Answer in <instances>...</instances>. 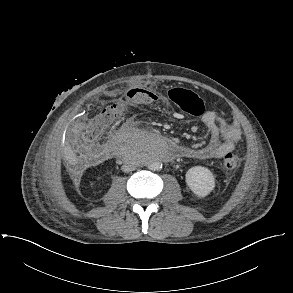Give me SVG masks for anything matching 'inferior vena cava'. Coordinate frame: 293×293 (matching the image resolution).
<instances>
[{
	"instance_id": "obj_1",
	"label": "inferior vena cava",
	"mask_w": 293,
	"mask_h": 293,
	"mask_svg": "<svg viewBox=\"0 0 293 293\" xmlns=\"http://www.w3.org/2000/svg\"><path fill=\"white\" fill-rule=\"evenodd\" d=\"M121 169H122L123 172H130V171H133L135 169V165L133 163H130V162H125L122 165Z\"/></svg>"
}]
</instances>
